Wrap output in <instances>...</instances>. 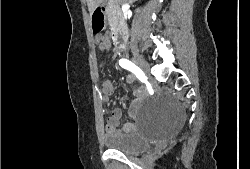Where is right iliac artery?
<instances>
[{
    "label": "right iliac artery",
    "instance_id": "obj_1",
    "mask_svg": "<svg viewBox=\"0 0 250 169\" xmlns=\"http://www.w3.org/2000/svg\"><path fill=\"white\" fill-rule=\"evenodd\" d=\"M119 65L123 67L124 69H127L131 71L133 74L136 75V77L141 81L145 82L147 80V77L145 76L144 72L136 66L134 63L127 59H120L119 60Z\"/></svg>",
    "mask_w": 250,
    "mask_h": 169
}]
</instances>
